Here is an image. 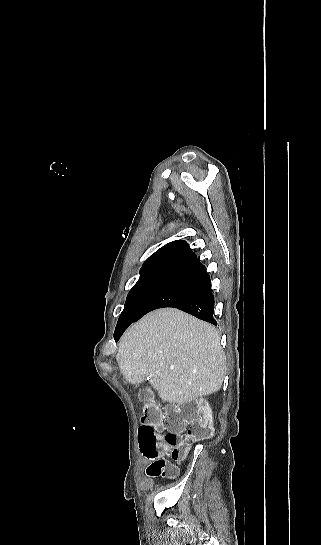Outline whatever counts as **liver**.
<instances>
[{
  "instance_id": "6515ba94",
  "label": "liver",
  "mask_w": 321,
  "mask_h": 545,
  "mask_svg": "<svg viewBox=\"0 0 321 545\" xmlns=\"http://www.w3.org/2000/svg\"><path fill=\"white\" fill-rule=\"evenodd\" d=\"M126 381L149 379L166 403H192L222 387L227 365L215 327L178 309H157L131 325L116 355Z\"/></svg>"
}]
</instances>
